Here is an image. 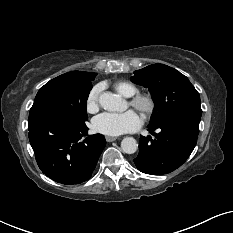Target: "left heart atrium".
<instances>
[{"label": "left heart atrium", "mask_w": 233, "mask_h": 233, "mask_svg": "<svg viewBox=\"0 0 233 233\" xmlns=\"http://www.w3.org/2000/svg\"><path fill=\"white\" fill-rule=\"evenodd\" d=\"M141 123L139 115L129 110L124 113H102L93 119L92 128L104 135L118 136L136 131Z\"/></svg>", "instance_id": "1"}]
</instances>
